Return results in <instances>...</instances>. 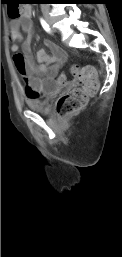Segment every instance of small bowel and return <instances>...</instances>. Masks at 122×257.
Returning <instances> with one entry per match:
<instances>
[{
    "mask_svg": "<svg viewBox=\"0 0 122 257\" xmlns=\"http://www.w3.org/2000/svg\"><path fill=\"white\" fill-rule=\"evenodd\" d=\"M31 14L32 8L25 6L21 15L10 21L9 29L12 40V60L16 64L18 73L24 79L27 99H38L56 91V75L59 74L60 67L66 59V54L55 43L46 39L44 44L49 52L38 51L37 62L31 57L30 42L35 35ZM23 32L27 34L26 39L23 37ZM20 46L22 52H18Z\"/></svg>",
    "mask_w": 122,
    "mask_h": 257,
    "instance_id": "obj_1",
    "label": "small bowel"
}]
</instances>
